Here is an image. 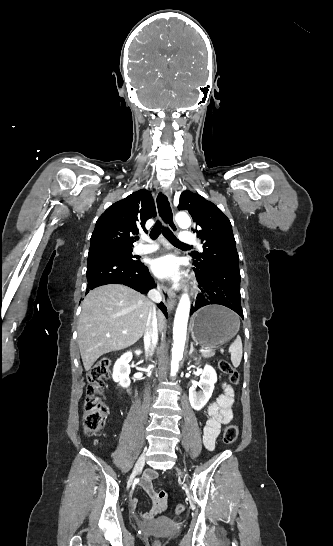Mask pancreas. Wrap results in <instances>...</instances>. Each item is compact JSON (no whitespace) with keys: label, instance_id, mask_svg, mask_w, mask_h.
Masks as SVG:
<instances>
[{"label":"pancreas","instance_id":"obj_1","mask_svg":"<svg viewBox=\"0 0 333 546\" xmlns=\"http://www.w3.org/2000/svg\"><path fill=\"white\" fill-rule=\"evenodd\" d=\"M214 355H215V351L212 350V349H208V352L202 353V356H203L204 358H210V357H212V356H214Z\"/></svg>","mask_w":333,"mask_h":546}]
</instances>
